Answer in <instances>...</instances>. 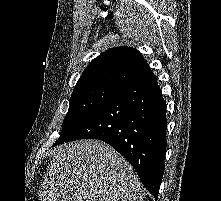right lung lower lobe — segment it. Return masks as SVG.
Listing matches in <instances>:
<instances>
[{
	"instance_id": "98d812e1",
	"label": "right lung lower lobe",
	"mask_w": 221,
	"mask_h": 201,
	"mask_svg": "<svg viewBox=\"0 0 221 201\" xmlns=\"http://www.w3.org/2000/svg\"><path fill=\"white\" fill-rule=\"evenodd\" d=\"M166 103L149 71L127 84L89 117L66 141L98 139L122 154L155 197L164 172Z\"/></svg>"
}]
</instances>
